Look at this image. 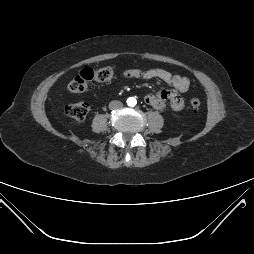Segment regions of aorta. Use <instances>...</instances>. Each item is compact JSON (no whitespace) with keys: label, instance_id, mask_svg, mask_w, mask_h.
<instances>
[{"label":"aorta","instance_id":"1","mask_svg":"<svg viewBox=\"0 0 254 254\" xmlns=\"http://www.w3.org/2000/svg\"><path fill=\"white\" fill-rule=\"evenodd\" d=\"M128 106L134 107L137 104V101L134 97H129L127 99Z\"/></svg>","mask_w":254,"mask_h":254}]
</instances>
